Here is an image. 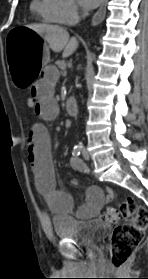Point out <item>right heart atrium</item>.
I'll list each match as a JSON object with an SVG mask.
<instances>
[{"mask_svg": "<svg viewBox=\"0 0 148 279\" xmlns=\"http://www.w3.org/2000/svg\"><path fill=\"white\" fill-rule=\"evenodd\" d=\"M57 11L66 24H72L80 16V9L74 0H56Z\"/></svg>", "mask_w": 148, "mask_h": 279, "instance_id": "obj_1", "label": "right heart atrium"}]
</instances>
